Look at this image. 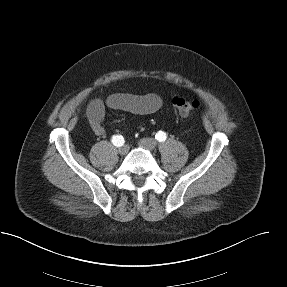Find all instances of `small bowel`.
Segmentation results:
<instances>
[{"mask_svg": "<svg viewBox=\"0 0 287 287\" xmlns=\"http://www.w3.org/2000/svg\"><path fill=\"white\" fill-rule=\"evenodd\" d=\"M163 101L157 94L137 95L130 93H116L109 96L106 101L93 99L86 110L88 122L97 136L105 132L104 119L106 108L120 110L136 115H147L159 111Z\"/></svg>", "mask_w": 287, "mask_h": 287, "instance_id": "obj_1", "label": "small bowel"}]
</instances>
